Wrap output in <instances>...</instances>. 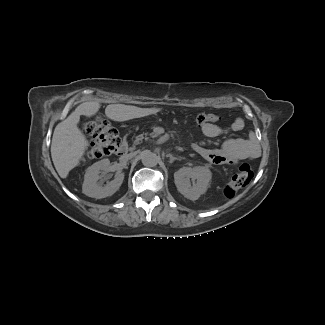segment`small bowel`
<instances>
[{
	"instance_id": "c3829d8e",
	"label": "small bowel",
	"mask_w": 325,
	"mask_h": 325,
	"mask_svg": "<svg viewBox=\"0 0 325 325\" xmlns=\"http://www.w3.org/2000/svg\"><path fill=\"white\" fill-rule=\"evenodd\" d=\"M211 117L214 114H209ZM244 122L241 118H236L230 125L222 126L218 119L205 121L200 125L202 133L211 138L221 137L236 133L242 130ZM194 150L209 162L215 164H230L239 160L253 158L256 155L255 149L247 144L242 138H228L219 149H208L199 145H194Z\"/></svg>"
}]
</instances>
